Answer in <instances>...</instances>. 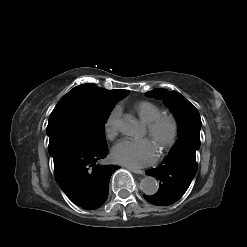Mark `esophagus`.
<instances>
[{
    "instance_id": "esophagus-1",
    "label": "esophagus",
    "mask_w": 247,
    "mask_h": 247,
    "mask_svg": "<svg viewBox=\"0 0 247 247\" xmlns=\"http://www.w3.org/2000/svg\"><path fill=\"white\" fill-rule=\"evenodd\" d=\"M129 171L136 173V174H144V171L139 170V169H135V168H128Z\"/></svg>"
}]
</instances>
